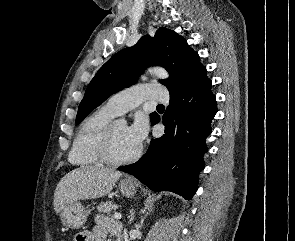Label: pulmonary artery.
Returning a JSON list of instances; mask_svg holds the SVG:
<instances>
[{
	"instance_id": "pulmonary-artery-1",
	"label": "pulmonary artery",
	"mask_w": 295,
	"mask_h": 241,
	"mask_svg": "<svg viewBox=\"0 0 295 241\" xmlns=\"http://www.w3.org/2000/svg\"><path fill=\"white\" fill-rule=\"evenodd\" d=\"M147 99L168 102L169 94L161 84L146 83L128 88L110 97L105 106L117 115H121Z\"/></svg>"
}]
</instances>
